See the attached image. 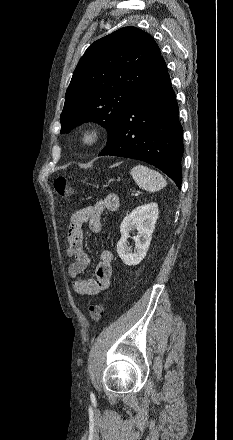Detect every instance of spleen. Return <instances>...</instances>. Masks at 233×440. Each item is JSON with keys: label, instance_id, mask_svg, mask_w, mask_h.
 Wrapping results in <instances>:
<instances>
[{"label": "spleen", "instance_id": "obj_1", "mask_svg": "<svg viewBox=\"0 0 233 440\" xmlns=\"http://www.w3.org/2000/svg\"><path fill=\"white\" fill-rule=\"evenodd\" d=\"M136 184L149 192H155L167 185L164 177L156 170L144 165H136L131 169Z\"/></svg>", "mask_w": 233, "mask_h": 440}]
</instances>
